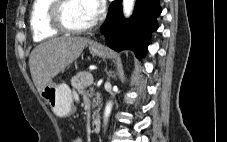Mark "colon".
Masks as SVG:
<instances>
[{
	"instance_id": "5ec220e1",
	"label": "colon",
	"mask_w": 227,
	"mask_h": 142,
	"mask_svg": "<svg viewBox=\"0 0 227 142\" xmlns=\"http://www.w3.org/2000/svg\"><path fill=\"white\" fill-rule=\"evenodd\" d=\"M70 142H84V140H83V138L80 135L75 134L71 138V141Z\"/></svg>"
}]
</instances>
